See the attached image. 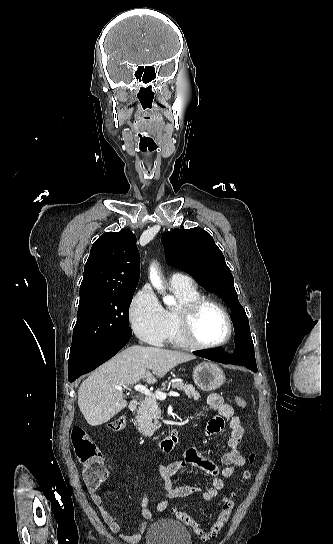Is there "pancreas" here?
<instances>
[{
  "mask_svg": "<svg viewBox=\"0 0 333 544\" xmlns=\"http://www.w3.org/2000/svg\"><path fill=\"white\" fill-rule=\"evenodd\" d=\"M171 386L174 389L182 390L190 399L193 398L195 401H197L200 398V394L195 391V388L191 384L169 383L167 388L169 389ZM164 390H166V383H163L161 389L158 391ZM158 417L159 407L156 395L153 394L146 396L145 399L141 401L134 424L141 434L145 436H152L158 428Z\"/></svg>",
  "mask_w": 333,
  "mask_h": 544,
  "instance_id": "cf45deb5",
  "label": "pancreas"
}]
</instances>
